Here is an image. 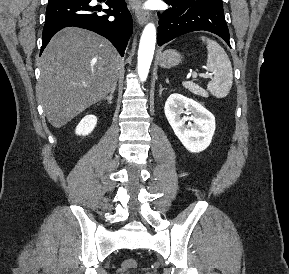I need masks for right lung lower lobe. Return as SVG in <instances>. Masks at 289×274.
<instances>
[{
  "label": "right lung lower lobe",
  "mask_w": 289,
  "mask_h": 274,
  "mask_svg": "<svg viewBox=\"0 0 289 274\" xmlns=\"http://www.w3.org/2000/svg\"><path fill=\"white\" fill-rule=\"evenodd\" d=\"M91 1H49L42 33L41 52L56 32L67 26H75L89 29L106 37L116 47L120 55H124L133 29L132 17L125 0H103L109 9H102L99 5L94 6ZM110 16H114V18Z\"/></svg>",
  "instance_id": "1"
}]
</instances>
